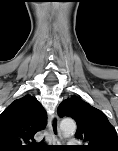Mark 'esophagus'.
<instances>
[{
  "label": "esophagus",
  "instance_id": "34e87169",
  "mask_svg": "<svg viewBox=\"0 0 118 151\" xmlns=\"http://www.w3.org/2000/svg\"><path fill=\"white\" fill-rule=\"evenodd\" d=\"M49 141L53 144L59 143L61 136L59 132V118L56 114L49 117Z\"/></svg>",
  "mask_w": 118,
  "mask_h": 151
}]
</instances>
